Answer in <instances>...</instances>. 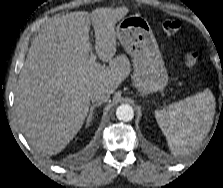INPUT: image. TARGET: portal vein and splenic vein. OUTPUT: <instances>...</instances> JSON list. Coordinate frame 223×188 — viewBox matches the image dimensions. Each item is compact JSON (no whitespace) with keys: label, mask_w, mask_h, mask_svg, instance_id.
Instances as JSON below:
<instances>
[{"label":"portal vein and splenic vein","mask_w":223,"mask_h":188,"mask_svg":"<svg viewBox=\"0 0 223 188\" xmlns=\"http://www.w3.org/2000/svg\"><path fill=\"white\" fill-rule=\"evenodd\" d=\"M89 61H90V63H95L96 55L95 54H91V57H90Z\"/></svg>","instance_id":"1"}]
</instances>
